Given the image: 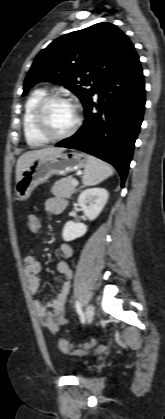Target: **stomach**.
I'll return each instance as SVG.
<instances>
[{"mask_svg": "<svg viewBox=\"0 0 165 419\" xmlns=\"http://www.w3.org/2000/svg\"><path fill=\"white\" fill-rule=\"evenodd\" d=\"M88 156L80 152L57 153L36 158L21 174L15 185L20 201L27 200L34 188L53 175H66L86 166Z\"/></svg>", "mask_w": 165, "mask_h": 419, "instance_id": "0dacf381", "label": "stomach"}]
</instances>
